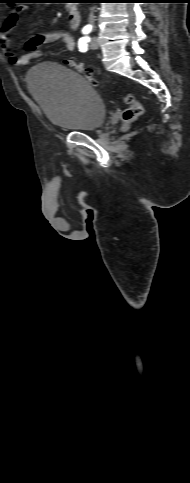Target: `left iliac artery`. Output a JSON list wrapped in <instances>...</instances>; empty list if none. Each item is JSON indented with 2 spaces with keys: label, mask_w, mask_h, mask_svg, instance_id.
<instances>
[{
  "label": "left iliac artery",
  "mask_w": 190,
  "mask_h": 483,
  "mask_svg": "<svg viewBox=\"0 0 190 483\" xmlns=\"http://www.w3.org/2000/svg\"><path fill=\"white\" fill-rule=\"evenodd\" d=\"M88 42H90V37L85 36V37L80 38L79 41H78L79 51H81V52L87 51Z\"/></svg>",
  "instance_id": "obj_1"
}]
</instances>
